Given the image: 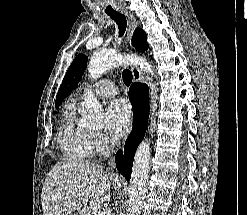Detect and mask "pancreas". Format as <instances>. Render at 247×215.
Returning a JSON list of instances; mask_svg holds the SVG:
<instances>
[{"label":"pancreas","mask_w":247,"mask_h":215,"mask_svg":"<svg viewBox=\"0 0 247 215\" xmlns=\"http://www.w3.org/2000/svg\"><path fill=\"white\" fill-rule=\"evenodd\" d=\"M97 207L98 205L87 206L80 211V215H95L98 210Z\"/></svg>","instance_id":"pancreas-1"}]
</instances>
